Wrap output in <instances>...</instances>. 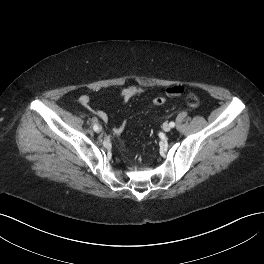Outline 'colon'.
<instances>
[{
  "mask_svg": "<svg viewBox=\"0 0 264 264\" xmlns=\"http://www.w3.org/2000/svg\"><path fill=\"white\" fill-rule=\"evenodd\" d=\"M165 103V98L164 97H161V96H158V97H155L153 99V104L155 106H161ZM187 104L191 107V108H194V109H197L200 107V101L199 99L196 97L195 94L193 93H189L187 95Z\"/></svg>",
  "mask_w": 264,
  "mask_h": 264,
  "instance_id": "obj_1",
  "label": "colon"
}]
</instances>
